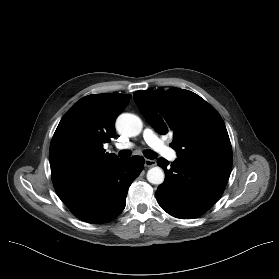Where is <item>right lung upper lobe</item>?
I'll return each instance as SVG.
<instances>
[{"mask_svg":"<svg viewBox=\"0 0 279 279\" xmlns=\"http://www.w3.org/2000/svg\"><path fill=\"white\" fill-rule=\"evenodd\" d=\"M129 95L107 93L83 97L62 117L50 145L53 184L106 167L119 158L105 153L103 144L114 138L116 117Z\"/></svg>","mask_w":279,"mask_h":279,"instance_id":"cb5924a9","label":"right lung upper lobe"}]
</instances>
